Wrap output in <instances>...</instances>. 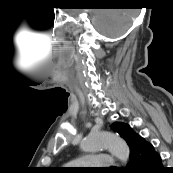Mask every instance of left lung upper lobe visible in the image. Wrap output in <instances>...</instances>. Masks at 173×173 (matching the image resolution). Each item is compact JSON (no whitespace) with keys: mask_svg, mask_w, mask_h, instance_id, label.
I'll return each instance as SVG.
<instances>
[{"mask_svg":"<svg viewBox=\"0 0 173 173\" xmlns=\"http://www.w3.org/2000/svg\"><path fill=\"white\" fill-rule=\"evenodd\" d=\"M112 129L119 133V135L127 142L128 146H131L132 139L136 135V133L132 130V128L123 123H114L112 125Z\"/></svg>","mask_w":173,"mask_h":173,"instance_id":"left-lung-upper-lobe-1","label":"left lung upper lobe"}]
</instances>
